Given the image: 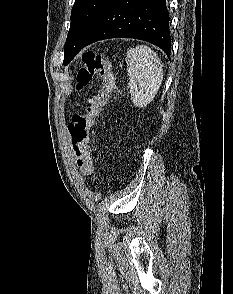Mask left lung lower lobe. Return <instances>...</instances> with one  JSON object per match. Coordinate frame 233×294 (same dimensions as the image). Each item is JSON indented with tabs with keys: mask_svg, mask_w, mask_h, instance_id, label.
Masks as SVG:
<instances>
[{
	"mask_svg": "<svg viewBox=\"0 0 233 294\" xmlns=\"http://www.w3.org/2000/svg\"><path fill=\"white\" fill-rule=\"evenodd\" d=\"M118 37L150 42L170 58L171 37L166 0H111L82 48L99 40Z\"/></svg>",
	"mask_w": 233,
	"mask_h": 294,
	"instance_id": "0a47b994",
	"label": "left lung lower lobe"
}]
</instances>
